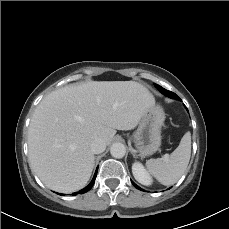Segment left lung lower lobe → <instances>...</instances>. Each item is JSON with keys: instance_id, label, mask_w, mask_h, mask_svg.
Segmentation results:
<instances>
[{"instance_id": "obj_1", "label": "left lung lower lobe", "mask_w": 229, "mask_h": 229, "mask_svg": "<svg viewBox=\"0 0 229 229\" xmlns=\"http://www.w3.org/2000/svg\"><path fill=\"white\" fill-rule=\"evenodd\" d=\"M169 97V96H168ZM170 98H175V99H178V100H181L175 93L172 94V96ZM132 184L139 190H142L140 187H138L134 182H132ZM144 191V190H142Z\"/></svg>"}]
</instances>
